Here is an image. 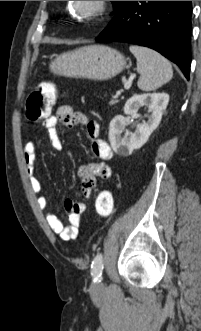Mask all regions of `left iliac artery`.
<instances>
[{
	"instance_id": "44dca946",
	"label": "left iliac artery",
	"mask_w": 201,
	"mask_h": 331,
	"mask_svg": "<svg viewBox=\"0 0 201 331\" xmlns=\"http://www.w3.org/2000/svg\"><path fill=\"white\" fill-rule=\"evenodd\" d=\"M92 276L94 282H99L102 279V271H103V256L101 253H98L94 258L92 265Z\"/></svg>"
}]
</instances>
